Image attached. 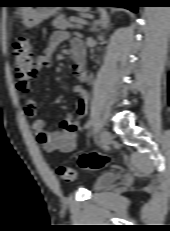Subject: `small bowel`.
Returning a JSON list of instances; mask_svg holds the SVG:
<instances>
[{
	"label": "small bowel",
	"mask_w": 170,
	"mask_h": 231,
	"mask_svg": "<svg viewBox=\"0 0 170 231\" xmlns=\"http://www.w3.org/2000/svg\"><path fill=\"white\" fill-rule=\"evenodd\" d=\"M66 39L62 32H55L49 39V42L44 52L36 57L37 73L44 68L49 67L51 57L56 47ZM72 48L74 50H81V45L78 41H73ZM73 73L79 82H84L86 79L83 67L77 64L72 67ZM32 81V80H31ZM31 81H19L17 89L24 95V112L27 116L33 118L32 129L38 142L42 145L46 152L59 151L62 153H70L77 147L78 133L80 131L79 118L82 117L87 110V94L81 85L75 87L78 95L77 114L78 118L72 116L65 117L61 122V128L58 131H51L45 128V122L42 119L36 118L37 102L31 95L32 85Z\"/></svg>",
	"instance_id": "small-bowel-1"
}]
</instances>
